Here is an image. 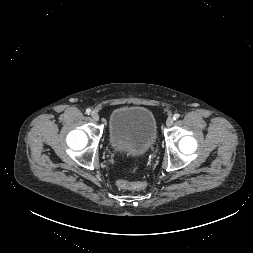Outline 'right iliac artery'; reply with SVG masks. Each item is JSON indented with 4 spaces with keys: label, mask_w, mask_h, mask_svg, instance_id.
<instances>
[{
    "label": "right iliac artery",
    "mask_w": 253,
    "mask_h": 253,
    "mask_svg": "<svg viewBox=\"0 0 253 253\" xmlns=\"http://www.w3.org/2000/svg\"><path fill=\"white\" fill-rule=\"evenodd\" d=\"M86 113L89 115L91 113V109H86Z\"/></svg>",
    "instance_id": "right-iliac-artery-1"
}]
</instances>
